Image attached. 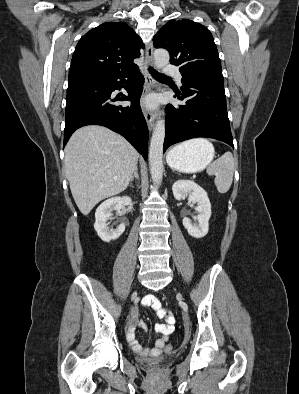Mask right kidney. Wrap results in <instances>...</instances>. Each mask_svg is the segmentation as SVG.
Here are the masks:
<instances>
[{
    "instance_id": "ca27d5eb",
    "label": "right kidney",
    "mask_w": 299,
    "mask_h": 394,
    "mask_svg": "<svg viewBox=\"0 0 299 394\" xmlns=\"http://www.w3.org/2000/svg\"><path fill=\"white\" fill-rule=\"evenodd\" d=\"M132 202L130 197H113L107 199L99 205L95 212V223L94 229L96 230L98 236L104 242H110L112 240L118 239L122 233L125 231V224H120L116 229H111L107 227V221L112 216L114 210L119 211L123 205H130Z\"/></svg>"
}]
</instances>
